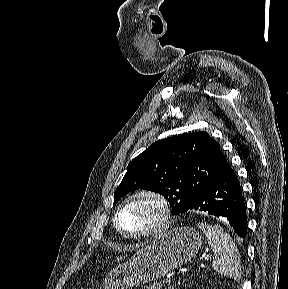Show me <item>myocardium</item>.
<instances>
[{
    "mask_svg": "<svg viewBox=\"0 0 288 289\" xmlns=\"http://www.w3.org/2000/svg\"><path fill=\"white\" fill-rule=\"evenodd\" d=\"M137 198H150L154 200L160 208V217L157 223L150 229L138 233H129L126 232L120 224V214L127 204H129L130 202H132ZM171 218H172L171 206L169 201L165 198V196L159 192L144 189L131 194L119 205V207L115 212L114 223L118 232L125 238L143 239V238L156 237L166 232L171 226Z\"/></svg>",
    "mask_w": 288,
    "mask_h": 289,
    "instance_id": "myocardium-1",
    "label": "myocardium"
}]
</instances>
